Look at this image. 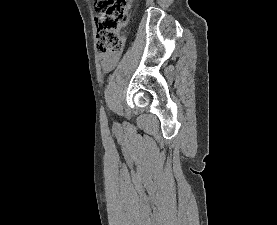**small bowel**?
<instances>
[{
	"instance_id": "1",
	"label": "small bowel",
	"mask_w": 277,
	"mask_h": 225,
	"mask_svg": "<svg viewBox=\"0 0 277 225\" xmlns=\"http://www.w3.org/2000/svg\"><path fill=\"white\" fill-rule=\"evenodd\" d=\"M121 53L118 52L113 55H103L100 58L102 68L108 72L114 68L118 60L120 59Z\"/></svg>"
}]
</instances>
